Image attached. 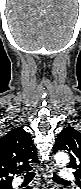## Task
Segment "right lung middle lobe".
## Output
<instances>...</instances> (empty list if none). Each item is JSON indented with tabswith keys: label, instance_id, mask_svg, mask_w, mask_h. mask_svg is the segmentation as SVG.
<instances>
[{
	"label": "right lung middle lobe",
	"instance_id": "dd1d6c3e",
	"mask_svg": "<svg viewBox=\"0 0 81 189\" xmlns=\"http://www.w3.org/2000/svg\"><path fill=\"white\" fill-rule=\"evenodd\" d=\"M11 185L0 186V189H11Z\"/></svg>",
	"mask_w": 81,
	"mask_h": 189
}]
</instances>
